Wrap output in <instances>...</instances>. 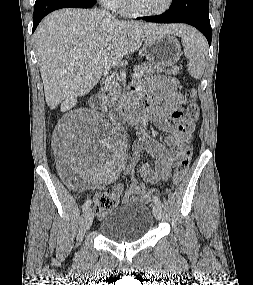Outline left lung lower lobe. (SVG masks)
Listing matches in <instances>:
<instances>
[{
	"label": "left lung lower lobe",
	"instance_id": "1",
	"mask_svg": "<svg viewBox=\"0 0 253 285\" xmlns=\"http://www.w3.org/2000/svg\"><path fill=\"white\" fill-rule=\"evenodd\" d=\"M170 10L158 16L139 17L156 23H187L196 27L207 38L209 45L212 29L209 20V0H173Z\"/></svg>",
	"mask_w": 253,
	"mask_h": 285
}]
</instances>
